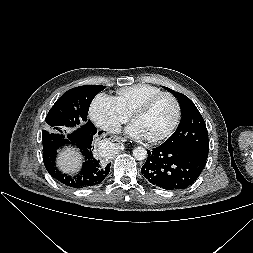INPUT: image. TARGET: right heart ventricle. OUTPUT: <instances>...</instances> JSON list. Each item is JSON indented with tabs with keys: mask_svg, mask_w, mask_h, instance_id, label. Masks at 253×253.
<instances>
[{
	"mask_svg": "<svg viewBox=\"0 0 253 253\" xmlns=\"http://www.w3.org/2000/svg\"><path fill=\"white\" fill-rule=\"evenodd\" d=\"M160 92L162 90L155 85L135 84L118 89L114 100L124 114L131 116L146 99Z\"/></svg>",
	"mask_w": 253,
	"mask_h": 253,
	"instance_id": "1",
	"label": "right heart ventricle"
}]
</instances>
